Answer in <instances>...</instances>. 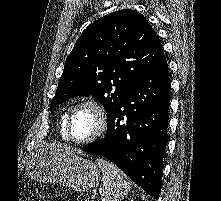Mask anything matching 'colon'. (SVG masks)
I'll use <instances>...</instances> for the list:
<instances>
[{
    "label": "colon",
    "instance_id": "1",
    "mask_svg": "<svg viewBox=\"0 0 221 201\" xmlns=\"http://www.w3.org/2000/svg\"><path fill=\"white\" fill-rule=\"evenodd\" d=\"M21 201H31V198H30V196H24L22 199H21Z\"/></svg>",
    "mask_w": 221,
    "mask_h": 201
}]
</instances>
